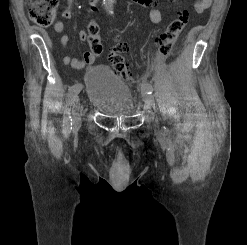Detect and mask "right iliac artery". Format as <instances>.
<instances>
[{
	"mask_svg": "<svg viewBox=\"0 0 247 245\" xmlns=\"http://www.w3.org/2000/svg\"><path fill=\"white\" fill-rule=\"evenodd\" d=\"M82 85L80 83L74 84L67 94L66 105L64 110V118H63V127L65 131H69L72 126V118H71V106L74 102L75 97L81 91Z\"/></svg>",
	"mask_w": 247,
	"mask_h": 245,
	"instance_id": "82829eb1",
	"label": "right iliac artery"
}]
</instances>
